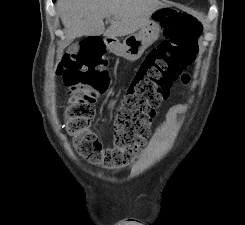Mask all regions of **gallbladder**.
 Instances as JSON below:
<instances>
[{
  "label": "gallbladder",
  "instance_id": "bac80fb5",
  "mask_svg": "<svg viewBox=\"0 0 245 225\" xmlns=\"http://www.w3.org/2000/svg\"><path fill=\"white\" fill-rule=\"evenodd\" d=\"M77 51H78L77 44H73L72 46L69 47V52L70 53H76Z\"/></svg>",
  "mask_w": 245,
  "mask_h": 225
}]
</instances>
